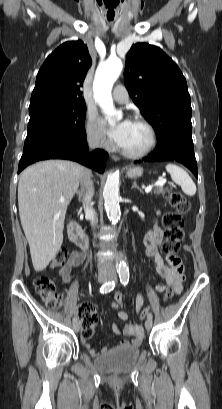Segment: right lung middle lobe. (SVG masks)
I'll list each match as a JSON object with an SVG mask.
<instances>
[{"label":"right lung middle lobe","mask_w":222,"mask_h":409,"mask_svg":"<svg viewBox=\"0 0 222 409\" xmlns=\"http://www.w3.org/2000/svg\"><path fill=\"white\" fill-rule=\"evenodd\" d=\"M85 102L51 103L29 109L23 154L36 149L73 150L86 139Z\"/></svg>","instance_id":"1"}]
</instances>
